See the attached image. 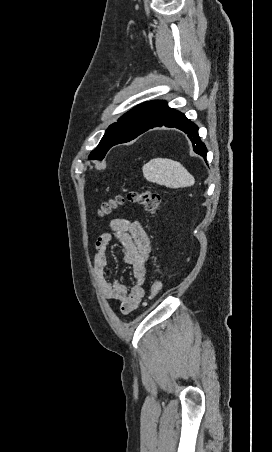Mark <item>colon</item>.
Returning a JSON list of instances; mask_svg holds the SVG:
<instances>
[{"instance_id": "colon-1", "label": "colon", "mask_w": 272, "mask_h": 452, "mask_svg": "<svg viewBox=\"0 0 272 452\" xmlns=\"http://www.w3.org/2000/svg\"><path fill=\"white\" fill-rule=\"evenodd\" d=\"M126 202L136 204L148 213H155L160 207L161 198L158 193L150 190H132L123 195H118L115 198L103 201L98 207L97 216L101 218L109 216L118 206ZM161 289L162 279L159 277L151 285L150 298L156 297Z\"/></svg>"}]
</instances>
